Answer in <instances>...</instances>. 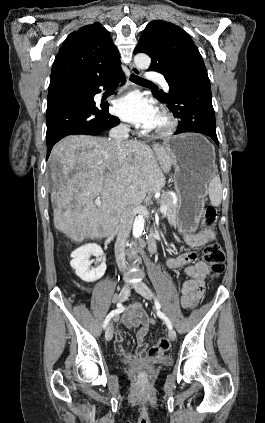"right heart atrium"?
<instances>
[{
	"mask_svg": "<svg viewBox=\"0 0 265 423\" xmlns=\"http://www.w3.org/2000/svg\"><path fill=\"white\" fill-rule=\"evenodd\" d=\"M124 128H127V126H125V125H122Z\"/></svg>",
	"mask_w": 265,
	"mask_h": 423,
	"instance_id": "d8ad5b80",
	"label": "right heart atrium"
}]
</instances>
